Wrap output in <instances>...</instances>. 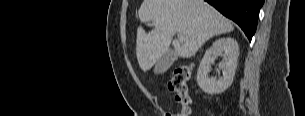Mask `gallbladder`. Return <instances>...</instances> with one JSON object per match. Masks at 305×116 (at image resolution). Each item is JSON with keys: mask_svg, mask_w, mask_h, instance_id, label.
Returning a JSON list of instances; mask_svg holds the SVG:
<instances>
[{"mask_svg": "<svg viewBox=\"0 0 305 116\" xmlns=\"http://www.w3.org/2000/svg\"><path fill=\"white\" fill-rule=\"evenodd\" d=\"M177 59V54L173 49H169L166 53H164L156 62L154 67L155 74H163L165 73L173 64V62Z\"/></svg>", "mask_w": 305, "mask_h": 116, "instance_id": "obj_1", "label": "gallbladder"}]
</instances>
